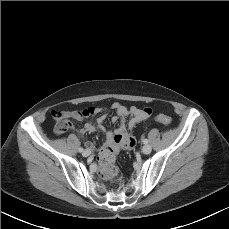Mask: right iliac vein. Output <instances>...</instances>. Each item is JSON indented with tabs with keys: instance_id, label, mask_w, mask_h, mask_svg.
Returning <instances> with one entry per match:
<instances>
[{
	"instance_id": "right-iliac-vein-1",
	"label": "right iliac vein",
	"mask_w": 229,
	"mask_h": 229,
	"mask_svg": "<svg viewBox=\"0 0 229 229\" xmlns=\"http://www.w3.org/2000/svg\"><path fill=\"white\" fill-rule=\"evenodd\" d=\"M90 154H91V151H90L89 149L84 150L83 153H82V155H83L84 157H88Z\"/></svg>"
}]
</instances>
